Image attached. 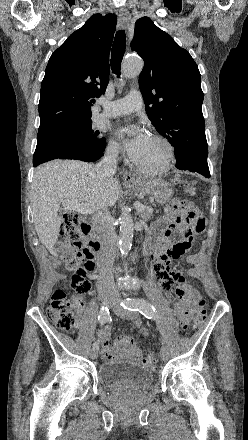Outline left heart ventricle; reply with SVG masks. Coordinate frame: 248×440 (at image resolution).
<instances>
[{
    "label": "left heart ventricle",
    "instance_id": "1",
    "mask_svg": "<svg viewBox=\"0 0 248 440\" xmlns=\"http://www.w3.org/2000/svg\"><path fill=\"white\" fill-rule=\"evenodd\" d=\"M165 158V150L163 146L156 140L150 138L148 145L141 155V157L135 162L144 167H158Z\"/></svg>",
    "mask_w": 248,
    "mask_h": 440
}]
</instances>
